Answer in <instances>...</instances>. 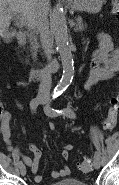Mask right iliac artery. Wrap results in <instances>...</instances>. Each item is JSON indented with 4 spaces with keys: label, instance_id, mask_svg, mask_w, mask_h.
<instances>
[{
    "label": "right iliac artery",
    "instance_id": "right-iliac-artery-1",
    "mask_svg": "<svg viewBox=\"0 0 119 185\" xmlns=\"http://www.w3.org/2000/svg\"><path fill=\"white\" fill-rule=\"evenodd\" d=\"M40 103V99L39 98H34L31 100L30 102V108L32 111H35L38 107ZM17 165L20 167L21 165H23L22 161H18Z\"/></svg>",
    "mask_w": 119,
    "mask_h": 185
}]
</instances>
